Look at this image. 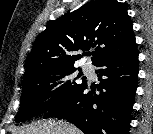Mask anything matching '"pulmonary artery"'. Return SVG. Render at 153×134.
I'll list each match as a JSON object with an SVG mask.
<instances>
[{
  "label": "pulmonary artery",
  "instance_id": "1",
  "mask_svg": "<svg viewBox=\"0 0 153 134\" xmlns=\"http://www.w3.org/2000/svg\"><path fill=\"white\" fill-rule=\"evenodd\" d=\"M84 69H85V71L88 72V73H91V72H92V67H91V65H89V64H86V65L84 66Z\"/></svg>",
  "mask_w": 153,
  "mask_h": 134
}]
</instances>
